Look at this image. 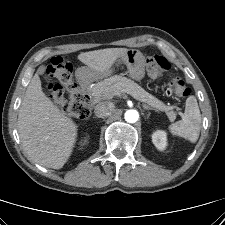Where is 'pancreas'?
<instances>
[{"instance_id":"1","label":"pancreas","mask_w":225,"mask_h":225,"mask_svg":"<svg viewBox=\"0 0 225 225\" xmlns=\"http://www.w3.org/2000/svg\"><path fill=\"white\" fill-rule=\"evenodd\" d=\"M124 91H130L136 94L141 100H144L148 105L165 111L170 121L175 120L176 114L172 111L171 107L164 105L157 98L146 92L137 83L121 75H115L105 79L103 82L97 83L92 88L91 95L98 100L110 99L114 95H119Z\"/></svg>"}]
</instances>
